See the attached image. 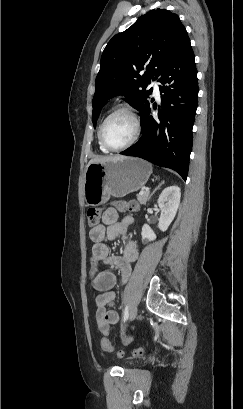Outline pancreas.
I'll return each instance as SVG.
<instances>
[{
  "label": "pancreas",
  "mask_w": 243,
  "mask_h": 409,
  "mask_svg": "<svg viewBox=\"0 0 243 409\" xmlns=\"http://www.w3.org/2000/svg\"><path fill=\"white\" fill-rule=\"evenodd\" d=\"M149 198V191H142L137 195V200L140 204H145Z\"/></svg>",
  "instance_id": "obj_1"
}]
</instances>
